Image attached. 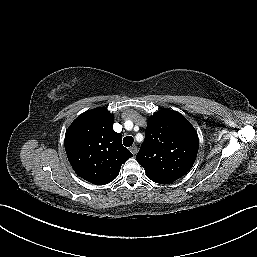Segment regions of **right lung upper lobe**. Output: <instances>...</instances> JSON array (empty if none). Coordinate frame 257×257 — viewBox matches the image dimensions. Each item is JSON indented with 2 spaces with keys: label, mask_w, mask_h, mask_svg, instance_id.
<instances>
[{
  "label": "right lung upper lobe",
  "mask_w": 257,
  "mask_h": 257,
  "mask_svg": "<svg viewBox=\"0 0 257 257\" xmlns=\"http://www.w3.org/2000/svg\"><path fill=\"white\" fill-rule=\"evenodd\" d=\"M68 160L78 176L95 185L113 181L133 155L113 130V114L95 108L79 115L65 134Z\"/></svg>",
  "instance_id": "right-lung-upper-lobe-1"
}]
</instances>
